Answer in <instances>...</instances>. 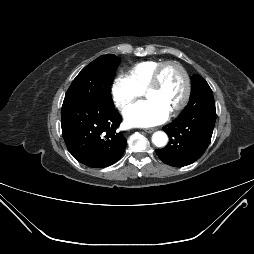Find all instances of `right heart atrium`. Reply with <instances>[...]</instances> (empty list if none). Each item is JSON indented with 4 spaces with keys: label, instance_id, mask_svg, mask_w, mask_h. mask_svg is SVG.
Segmentation results:
<instances>
[{
    "label": "right heart atrium",
    "instance_id": "d8ad5b80",
    "mask_svg": "<svg viewBox=\"0 0 254 254\" xmlns=\"http://www.w3.org/2000/svg\"><path fill=\"white\" fill-rule=\"evenodd\" d=\"M112 98L120 109L135 101L142 95V91L127 75H118L111 87Z\"/></svg>",
    "mask_w": 254,
    "mask_h": 254
}]
</instances>
